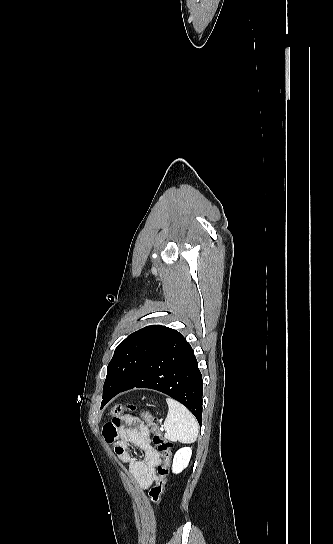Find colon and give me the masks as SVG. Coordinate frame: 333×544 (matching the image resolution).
<instances>
[{"mask_svg":"<svg viewBox=\"0 0 333 544\" xmlns=\"http://www.w3.org/2000/svg\"><path fill=\"white\" fill-rule=\"evenodd\" d=\"M134 406L114 405L110 408L108 415L114 417L120 416L124 411H135ZM141 418L149 426L153 434V443L157 450L162 454L163 463L157 467V479L149 490V497L153 504L159 506L165 492L167 475L169 471L170 460L172 456V443L166 440L160 431L159 420L148 411L139 412Z\"/></svg>","mask_w":333,"mask_h":544,"instance_id":"colon-1","label":"colon"}]
</instances>
